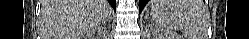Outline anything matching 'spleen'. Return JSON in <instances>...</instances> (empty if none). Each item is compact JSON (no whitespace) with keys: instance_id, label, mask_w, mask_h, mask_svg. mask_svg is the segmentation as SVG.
Segmentation results:
<instances>
[{"instance_id":"spleen-1","label":"spleen","mask_w":249,"mask_h":39,"mask_svg":"<svg viewBox=\"0 0 249 39\" xmlns=\"http://www.w3.org/2000/svg\"><path fill=\"white\" fill-rule=\"evenodd\" d=\"M152 21L176 38L180 30L186 39H205L209 13L202 0H151Z\"/></svg>"}]
</instances>
